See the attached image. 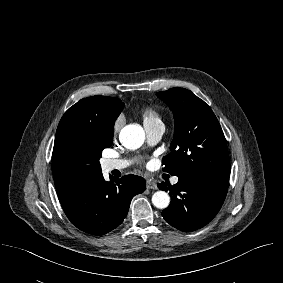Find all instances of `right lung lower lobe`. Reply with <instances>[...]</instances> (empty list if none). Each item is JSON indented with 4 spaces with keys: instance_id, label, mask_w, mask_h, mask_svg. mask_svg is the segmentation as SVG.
Instances as JSON below:
<instances>
[{
    "instance_id": "98d812e1",
    "label": "right lung lower lobe",
    "mask_w": 283,
    "mask_h": 283,
    "mask_svg": "<svg viewBox=\"0 0 283 283\" xmlns=\"http://www.w3.org/2000/svg\"><path fill=\"white\" fill-rule=\"evenodd\" d=\"M110 179L105 181L102 172L96 173L60 200L68 219L78 229L92 235L115 229L126 217L132 198L146 187L145 179L136 175Z\"/></svg>"
}]
</instances>
